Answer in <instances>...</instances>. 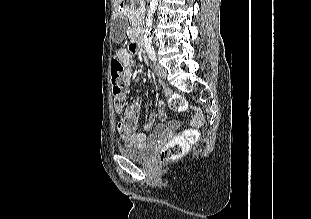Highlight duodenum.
<instances>
[{"label": "duodenum", "mask_w": 311, "mask_h": 219, "mask_svg": "<svg viewBox=\"0 0 311 219\" xmlns=\"http://www.w3.org/2000/svg\"><path fill=\"white\" fill-rule=\"evenodd\" d=\"M119 12L121 13H124L126 11V6L122 3L119 8H118ZM143 45V42H142V39H140V37H135L134 39V46H137V47H142Z\"/></svg>", "instance_id": "410a0bca"}]
</instances>
